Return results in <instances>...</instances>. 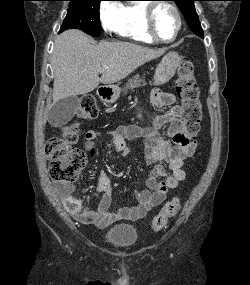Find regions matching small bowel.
Returning <instances> with one entry per match:
<instances>
[{
  "label": "small bowel",
  "instance_id": "small-bowel-1",
  "mask_svg": "<svg viewBox=\"0 0 250 285\" xmlns=\"http://www.w3.org/2000/svg\"><path fill=\"white\" fill-rule=\"evenodd\" d=\"M151 102L157 107L172 104L173 96L161 90H154ZM168 126V139L162 137L158 129ZM113 142L115 151L125 157L129 153L127 141L138 138L145 142V161L152 166L147 177V188L136 192L138 204L134 207H122L115 212L109 210L112 202V185L109 177L101 171L97 177V191L101 199L94 209L87 208L83 201L74 196V186L70 183L56 185V190L68 213L83 224L107 227L117 221H136L144 218L148 212L159 205L169 190L176 188L186 174L183 170L184 161L195 150V142L188 138L180 120V107L174 106L168 112L152 118L151 125L119 126L106 133ZM101 135L98 130H88L85 134V150L91 155L96 154L95 140ZM174 143V145L172 144ZM169 171L167 174L166 171Z\"/></svg>",
  "mask_w": 250,
  "mask_h": 285
}]
</instances>
